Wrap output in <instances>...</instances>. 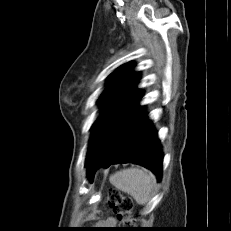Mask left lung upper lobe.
Wrapping results in <instances>:
<instances>
[{"instance_id":"1","label":"left lung upper lobe","mask_w":231,"mask_h":231,"mask_svg":"<svg viewBox=\"0 0 231 231\" xmlns=\"http://www.w3.org/2000/svg\"><path fill=\"white\" fill-rule=\"evenodd\" d=\"M133 65L126 63L118 67L109 77L107 87L99 97L101 113L93 124V132L89 142L87 156L109 123L130 103L140 91L136 85L139 73L133 72Z\"/></svg>"}]
</instances>
